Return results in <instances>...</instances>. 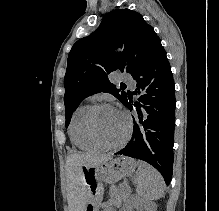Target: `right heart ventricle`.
Listing matches in <instances>:
<instances>
[{"instance_id": "obj_1", "label": "right heart ventricle", "mask_w": 219, "mask_h": 211, "mask_svg": "<svg viewBox=\"0 0 219 211\" xmlns=\"http://www.w3.org/2000/svg\"><path fill=\"white\" fill-rule=\"evenodd\" d=\"M91 106L89 104H80L75 108L71 115L69 124V136L71 142L86 152H97L101 147L93 143L87 135L85 129V119Z\"/></svg>"}]
</instances>
